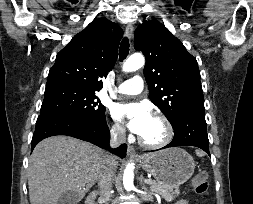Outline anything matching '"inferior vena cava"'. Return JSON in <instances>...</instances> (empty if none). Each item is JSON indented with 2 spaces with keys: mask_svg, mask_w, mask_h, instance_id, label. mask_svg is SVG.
Returning <instances> with one entry per match:
<instances>
[{
  "mask_svg": "<svg viewBox=\"0 0 253 204\" xmlns=\"http://www.w3.org/2000/svg\"><path fill=\"white\" fill-rule=\"evenodd\" d=\"M126 140V132L123 128H117L112 131L110 146L115 148ZM116 171V166L113 162L112 155H108L104 162L103 172L99 178L98 186L102 197H110L112 189L113 175Z\"/></svg>",
  "mask_w": 253,
  "mask_h": 204,
  "instance_id": "1",
  "label": "inferior vena cava"
}]
</instances>
